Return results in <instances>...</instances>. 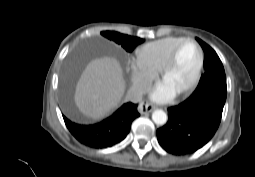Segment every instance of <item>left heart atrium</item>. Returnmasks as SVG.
Segmentation results:
<instances>
[{
  "label": "left heart atrium",
  "instance_id": "left-heart-atrium-1",
  "mask_svg": "<svg viewBox=\"0 0 255 177\" xmlns=\"http://www.w3.org/2000/svg\"><path fill=\"white\" fill-rule=\"evenodd\" d=\"M176 91L164 81L157 84L150 92V96L154 101L165 102L170 100Z\"/></svg>",
  "mask_w": 255,
  "mask_h": 177
}]
</instances>
